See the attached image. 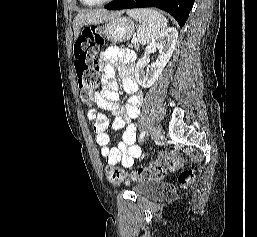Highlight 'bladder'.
Returning <instances> with one entry per match:
<instances>
[{"label":"bladder","instance_id":"31cf9c89","mask_svg":"<svg viewBox=\"0 0 257 237\" xmlns=\"http://www.w3.org/2000/svg\"><path fill=\"white\" fill-rule=\"evenodd\" d=\"M133 190L144 197L154 198L162 193V187L159 181L142 180L133 186Z\"/></svg>","mask_w":257,"mask_h":237}]
</instances>
